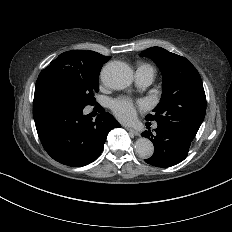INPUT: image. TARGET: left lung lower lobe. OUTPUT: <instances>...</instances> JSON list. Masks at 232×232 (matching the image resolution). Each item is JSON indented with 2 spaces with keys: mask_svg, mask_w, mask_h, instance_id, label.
<instances>
[{
  "mask_svg": "<svg viewBox=\"0 0 232 232\" xmlns=\"http://www.w3.org/2000/svg\"><path fill=\"white\" fill-rule=\"evenodd\" d=\"M153 134L150 130L144 131L142 136L149 138L154 144V154L145 162L156 167H171L183 161L187 155L192 139L183 133L158 124Z\"/></svg>",
  "mask_w": 232,
  "mask_h": 232,
  "instance_id": "1",
  "label": "left lung lower lobe"
}]
</instances>
